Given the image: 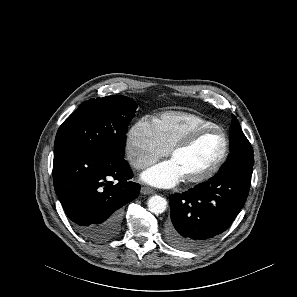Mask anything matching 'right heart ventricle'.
Masks as SVG:
<instances>
[{
    "label": "right heart ventricle",
    "mask_w": 297,
    "mask_h": 297,
    "mask_svg": "<svg viewBox=\"0 0 297 297\" xmlns=\"http://www.w3.org/2000/svg\"><path fill=\"white\" fill-rule=\"evenodd\" d=\"M159 142L169 150L176 142L194 129L216 126L200 115L184 111H168L153 120Z\"/></svg>",
    "instance_id": "1"
}]
</instances>
